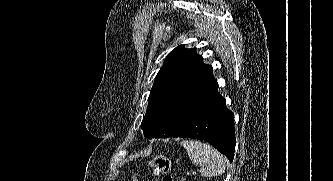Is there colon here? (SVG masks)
I'll return each instance as SVG.
<instances>
[{
	"mask_svg": "<svg viewBox=\"0 0 333 181\" xmlns=\"http://www.w3.org/2000/svg\"><path fill=\"white\" fill-rule=\"evenodd\" d=\"M148 167L162 176V181H173L172 178V160L165 155L153 156L148 160ZM131 181H137L135 177Z\"/></svg>",
	"mask_w": 333,
	"mask_h": 181,
	"instance_id": "obj_1",
	"label": "colon"
}]
</instances>
